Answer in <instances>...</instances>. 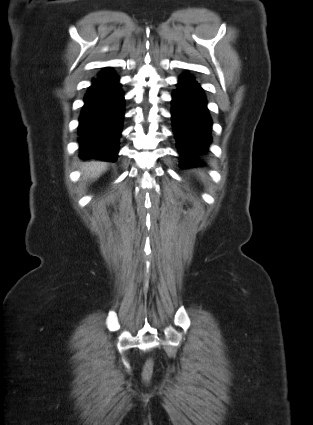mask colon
<instances>
[{
    "mask_svg": "<svg viewBox=\"0 0 313 425\" xmlns=\"http://www.w3.org/2000/svg\"><path fill=\"white\" fill-rule=\"evenodd\" d=\"M153 371V362L152 360H148L143 368L142 376L145 381L150 380Z\"/></svg>",
    "mask_w": 313,
    "mask_h": 425,
    "instance_id": "5ec220e1",
    "label": "colon"
}]
</instances>
